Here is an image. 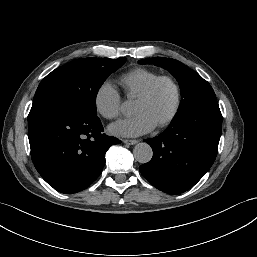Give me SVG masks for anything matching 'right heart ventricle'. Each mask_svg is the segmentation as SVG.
Here are the masks:
<instances>
[{"instance_id":"e07e8e85","label":"right heart ventricle","mask_w":257,"mask_h":257,"mask_svg":"<svg viewBox=\"0 0 257 257\" xmlns=\"http://www.w3.org/2000/svg\"><path fill=\"white\" fill-rule=\"evenodd\" d=\"M159 75L160 73L150 69L135 68L121 75L118 83L127 98L135 99Z\"/></svg>"}]
</instances>
